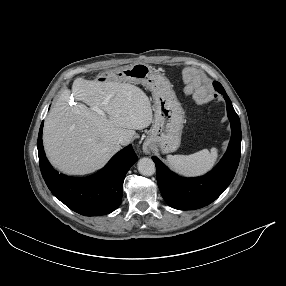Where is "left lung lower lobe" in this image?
I'll use <instances>...</instances> for the list:
<instances>
[{
  "instance_id": "0a47b994",
  "label": "left lung lower lobe",
  "mask_w": 286,
  "mask_h": 286,
  "mask_svg": "<svg viewBox=\"0 0 286 286\" xmlns=\"http://www.w3.org/2000/svg\"><path fill=\"white\" fill-rule=\"evenodd\" d=\"M222 94L226 100L232 136L227 152L211 172L201 177L183 178L171 172L158 158L152 157L161 194L166 203L175 209L192 210L210 204L223 193L236 173L241 150V125L229 97L226 93Z\"/></svg>"
}]
</instances>
